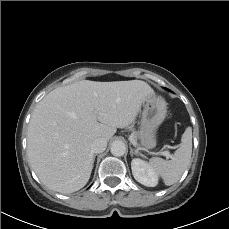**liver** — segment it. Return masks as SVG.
<instances>
[{
  "label": "liver",
  "mask_w": 229,
  "mask_h": 229,
  "mask_svg": "<svg viewBox=\"0 0 229 229\" xmlns=\"http://www.w3.org/2000/svg\"><path fill=\"white\" fill-rule=\"evenodd\" d=\"M154 90L144 81L83 80L58 87L36 106L27 154L40 181L60 193L83 188L93 169L91 143L132 124Z\"/></svg>",
  "instance_id": "liver-1"
}]
</instances>
